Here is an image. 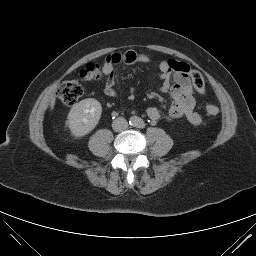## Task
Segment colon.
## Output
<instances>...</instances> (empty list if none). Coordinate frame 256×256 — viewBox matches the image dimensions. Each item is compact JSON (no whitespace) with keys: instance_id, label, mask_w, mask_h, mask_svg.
I'll list each match as a JSON object with an SVG mask.
<instances>
[{"instance_id":"obj_1","label":"colon","mask_w":256,"mask_h":256,"mask_svg":"<svg viewBox=\"0 0 256 256\" xmlns=\"http://www.w3.org/2000/svg\"><path fill=\"white\" fill-rule=\"evenodd\" d=\"M114 59L111 56H107L105 63H114ZM104 64L101 66L98 63H88L84 69L80 72V78L83 81H94L98 80L102 75V69ZM190 77L193 87L200 93L205 91V81L201 73L196 70H190ZM83 94V86L78 80H66L59 84L57 88V95L59 99L65 105L75 104ZM206 113L209 116H217L219 114V108L213 104H207L205 107Z\"/></svg>"}]
</instances>
